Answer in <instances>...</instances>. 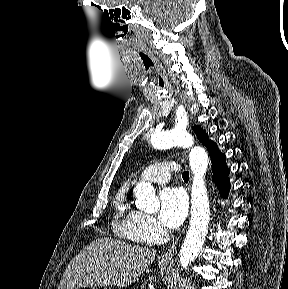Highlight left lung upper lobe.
Listing matches in <instances>:
<instances>
[{"instance_id":"1","label":"left lung upper lobe","mask_w":288,"mask_h":289,"mask_svg":"<svg viewBox=\"0 0 288 289\" xmlns=\"http://www.w3.org/2000/svg\"><path fill=\"white\" fill-rule=\"evenodd\" d=\"M193 131L195 132L198 140L203 143L208 149L214 142L209 140L207 133L200 127L195 125L193 127Z\"/></svg>"}]
</instances>
